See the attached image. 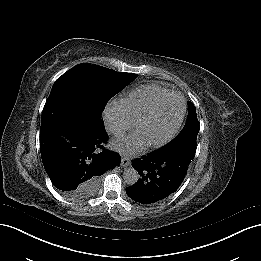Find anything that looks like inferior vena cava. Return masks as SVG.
I'll return each instance as SVG.
<instances>
[{"label": "inferior vena cava", "mask_w": 261, "mask_h": 261, "mask_svg": "<svg viewBox=\"0 0 261 261\" xmlns=\"http://www.w3.org/2000/svg\"><path fill=\"white\" fill-rule=\"evenodd\" d=\"M105 127L108 133L113 134L116 137H121L125 133V128L116 121H106Z\"/></svg>", "instance_id": "obj_1"}]
</instances>
